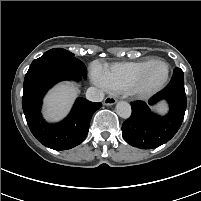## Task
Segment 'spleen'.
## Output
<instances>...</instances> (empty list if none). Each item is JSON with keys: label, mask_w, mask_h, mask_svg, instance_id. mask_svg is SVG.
<instances>
[{"label": "spleen", "mask_w": 201, "mask_h": 201, "mask_svg": "<svg viewBox=\"0 0 201 201\" xmlns=\"http://www.w3.org/2000/svg\"><path fill=\"white\" fill-rule=\"evenodd\" d=\"M157 109L160 112H165L167 110V107H166L165 103H160V104H158Z\"/></svg>", "instance_id": "3e777b00"}]
</instances>
